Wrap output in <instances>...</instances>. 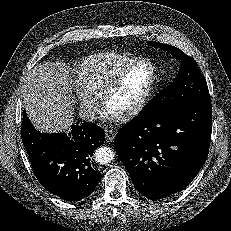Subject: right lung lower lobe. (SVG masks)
Listing matches in <instances>:
<instances>
[{
	"label": "right lung lower lobe",
	"instance_id": "obj_1",
	"mask_svg": "<svg viewBox=\"0 0 231 231\" xmlns=\"http://www.w3.org/2000/svg\"><path fill=\"white\" fill-rule=\"evenodd\" d=\"M23 145L34 173L49 192L66 201H79L98 185L101 173L90 164V157L104 142V131L94 123L72 125L66 133H40L23 112Z\"/></svg>",
	"mask_w": 231,
	"mask_h": 231
}]
</instances>
